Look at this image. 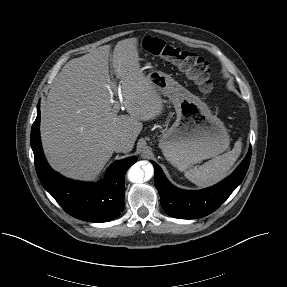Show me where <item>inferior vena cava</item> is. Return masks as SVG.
<instances>
[{"mask_svg": "<svg viewBox=\"0 0 287 287\" xmlns=\"http://www.w3.org/2000/svg\"><path fill=\"white\" fill-rule=\"evenodd\" d=\"M111 148L116 152H122L126 147V141L123 138H114L110 142Z\"/></svg>", "mask_w": 287, "mask_h": 287, "instance_id": "1", "label": "inferior vena cava"}]
</instances>
